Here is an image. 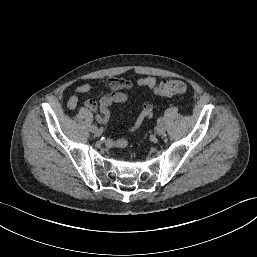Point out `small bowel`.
Here are the masks:
<instances>
[{"label": "small bowel", "instance_id": "obj_1", "mask_svg": "<svg viewBox=\"0 0 257 257\" xmlns=\"http://www.w3.org/2000/svg\"><path fill=\"white\" fill-rule=\"evenodd\" d=\"M107 84L112 90L111 93L104 95L100 100L89 99L86 100L84 105L91 111L96 112V119L100 124H106L111 115V106L114 103H124L128 99V92L133 88V82L127 79L109 77L107 78ZM136 85L138 87H144L147 89H154L157 85V80L154 77H145L137 80ZM93 90V85L90 83H83L76 87L75 93L69 98L67 106L70 109H74L78 102L79 97L82 94L88 93ZM153 115V105L150 102H145L142 105V110L136 119L134 125L130 128L131 132L136 131L145 120L150 119ZM109 146L124 147L127 145L125 138H119L117 140H108Z\"/></svg>", "mask_w": 257, "mask_h": 257}]
</instances>
